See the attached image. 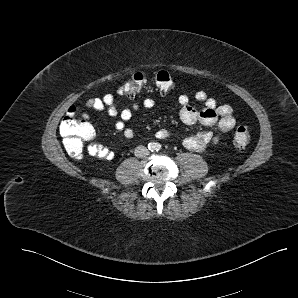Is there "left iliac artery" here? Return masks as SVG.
Here are the masks:
<instances>
[{"instance_id": "44dca946", "label": "left iliac artery", "mask_w": 298, "mask_h": 298, "mask_svg": "<svg viewBox=\"0 0 298 298\" xmlns=\"http://www.w3.org/2000/svg\"><path fill=\"white\" fill-rule=\"evenodd\" d=\"M161 149V145L160 144H156V151H159Z\"/></svg>"}]
</instances>
